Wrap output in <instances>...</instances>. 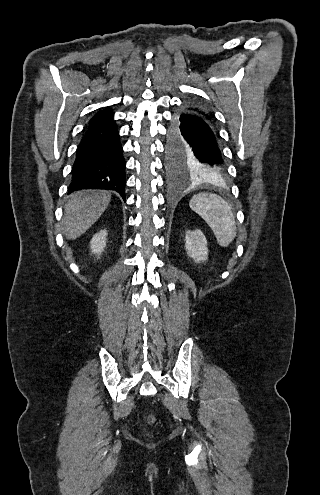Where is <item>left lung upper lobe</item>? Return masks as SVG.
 I'll list each match as a JSON object with an SVG mask.
<instances>
[{
  "label": "left lung upper lobe",
  "mask_w": 320,
  "mask_h": 495,
  "mask_svg": "<svg viewBox=\"0 0 320 495\" xmlns=\"http://www.w3.org/2000/svg\"><path fill=\"white\" fill-rule=\"evenodd\" d=\"M185 109L207 116L212 120L210 114L197 103L188 102ZM168 171L172 176L189 174L209 177V170L201 160L198 150L182 134L177 123L174 124L169 134Z\"/></svg>",
  "instance_id": "5c2ea615"
}]
</instances>
